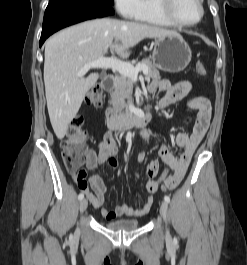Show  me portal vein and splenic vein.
Instances as JSON below:
<instances>
[{
	"label": "portal vein and splenic vein",
	"instance_id": "portal-vein-and-splenic-vein-1",
	"mask_svg": "<svg viewBox=\"0 0 247 265\" xmlns=\"http://www.w3.org/2000/svg\"><path fill=\"white\" fill-rule=\"evenodd\" d=\"M91 68H111L118 71L121 75L131 77L132 79H137L139 71H143L144 73L148 72V68L145 65H137L134 67L133 65L118 59L100 57L96 61H91L85 64L80 69L77 76L81 77L85 75V73Z\"/></svg>",
	"mask_w": 247,
	"mask_h": 265
}]
</instances>
